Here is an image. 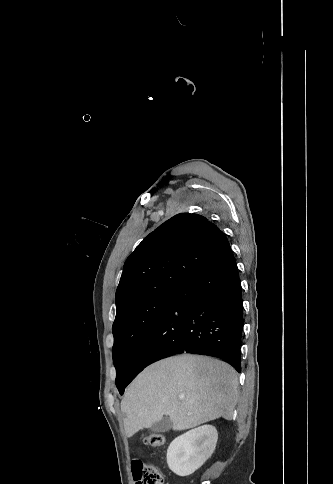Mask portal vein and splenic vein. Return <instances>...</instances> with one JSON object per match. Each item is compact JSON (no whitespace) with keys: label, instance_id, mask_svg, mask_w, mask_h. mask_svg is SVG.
<instances>
[{"label":"portal vein and splenic vein","instance_id":"1","mask_svg":"<svg viewBox=\"0 0 333 484\" xmlns=\"http://www.w3.org/2000/svg\"><path fill=\"white\" fill-rule=\"evenodd\" d=\"M179 398H180V399H183V398H184V396H179Z\"/></svg>","mask_w":333,"mask_h":484}]
</instances>
